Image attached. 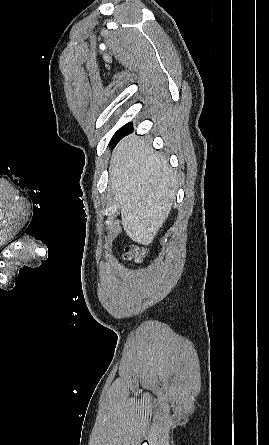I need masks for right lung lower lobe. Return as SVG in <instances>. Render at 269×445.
Masks as SVG:
<instances>
[{
    "label": "right lung lower lobe",
    "mask_w": 269,
    "mask_h": 445,
    "mask_svg": "<svg viewBox=\"0 0 269 445\" xmlns=\"http://www.w3.org/2000/svg\"><path fill=\"white\" fill-rule=\"evenodd\" d=\"M132 130V128L131 129H129L127 132H129V131H131Z\"/></svg>",
    "instance_id": "right-lung-lower-lobe-1"
}]
</instances>
